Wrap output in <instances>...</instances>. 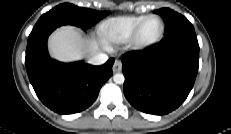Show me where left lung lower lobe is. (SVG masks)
I'll list each match as a JSON object with an SVG mask.
<instances>
[{
    "label": "left lung lower lobe",
    "instance_id": "1",
    "mask_svg": "<svg viewBox=\"0 0 231 134\" xmlns=\"http://www.w3.org/2000/svg\"><path fill=\"white\" fill-rule=\"evenodd\" d=\"M199 45L194 29L169 34L142 53L122 56L124 94L136 109L156 115L178 108L198 72Z\"/></svg>",
    "mask_w": 231,
    "mask_h": 134
}]
</instances>
